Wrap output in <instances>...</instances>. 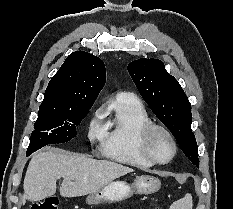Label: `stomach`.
I'll return each mask as SVG.
<instances>
[{
	"label": "stomach",
	"mask_w": 233,
	"mask_h": 209,
	"mask_svg": "<svg viewBox=\"0 0 233 209\" xmlns=\"http://www.w3.org/2000/svg\"><path fill=\"white\" fill-rule=\"evenodd\" d=\"M161 187L158 178L151 175L136 176L132 184L125 181H112L100 190L89 194L86 202L89 205H99L102 203H115L131 197L133 194H152Z\"/></svg>",
	"instance_id": "0dacf381"
}]
</instances>
